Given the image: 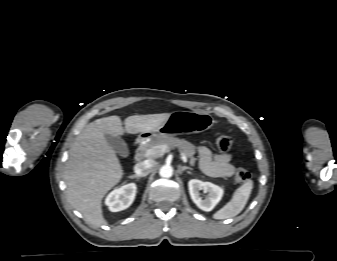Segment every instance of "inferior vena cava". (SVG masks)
<instances>
[{"mask_svg":"<svg viewBox=\"0 0 337 261\" xmlns=\"http://www.w3.org/2000/svg\"><path fill=\"white\" fill-rule=\"evenodd\" d=\"M152 165H153V162L149 160L139 162L134 166V172L138 176H142V177L147 176L151 171Z\"/></svg>","mask_w":337,"mask_h":261,"instance_id":"obj_1","label":"inferior vena cava"}]
</instances>
